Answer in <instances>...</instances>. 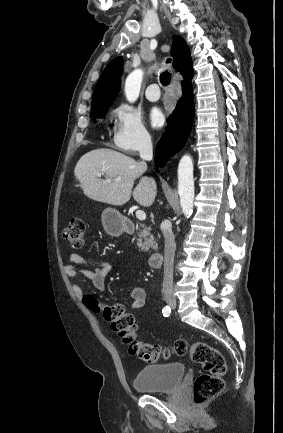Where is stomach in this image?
I'll return each mask as SVG.
<instances>
[{
    "label": "stomach",
    "mask_w": 283,
    "mask_h": 433,
    "mask_svg": "<svg viewBox=\"0 0 283 433\" xmlns=\"http://www.w3.org/2000/svg\"><path fill=\"white\" fill-rule=\"evenodd\" d=\"M104 219V229L112 237H120L126 229L127 217L116 210V208H105L102 212Z\"/></svg>",
    "instance_id": "stomach-1"
}]
</instances>
